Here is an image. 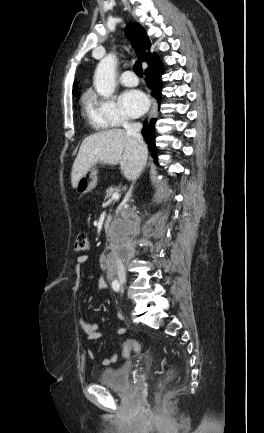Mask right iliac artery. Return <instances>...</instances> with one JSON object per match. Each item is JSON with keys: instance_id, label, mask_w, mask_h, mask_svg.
<instances>
[{"instance_id": "right-iliac-artery-1", "label": "right iliac artery", "mask_w": 264, "mask_h": 433, "mask_svg": "<svg viewBox=\"0 0 264 433\" xmlns=\"http://www.w3.org/2000/svg\"><path fill=\"white\" fill-rule=\"evenodd\" d=\"M112 288L116 292L120 290V283L118 282V280L112 281Z\"/></svg>"}]
</instances>
